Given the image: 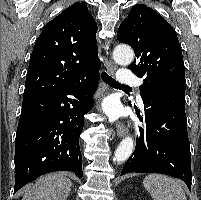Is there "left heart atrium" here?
I'll list each match as a JSON object with an SVG mask.
<instances>
[{"instance_id":"39dd6f15","label":"left heart atrium","mask_w":201,"mask_h":200,"mask_svg":"<svg viewBox=\"0 0 201 200\" xmlns=\"http://www.w3.org/2000/svg\"><path fill=\"white\" fill-rule=\"evenodd\" d=\"M108 111L112 116L114 115V110L111 107L108 108Z\"/></svg>"}]
</instances>
